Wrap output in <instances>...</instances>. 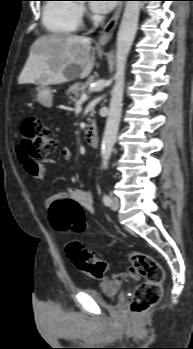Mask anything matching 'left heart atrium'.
<instances>
[{
	"instance_id": "1",
	"label": "left heart atrium",
	"mask_w": 193,
	"mask_h": 349,
	"mask_svg": "<svg viewBox=\"0 0 193 349\" xmlns=\"http://www.w3.org/2000/svg\"><path fill=\"white\" fill-rule=\"evenodd\" d=\"M114 7L113 2H99L95 1L92 3V8L98 13H107Z\"/></svg>"
}]
</instances>
